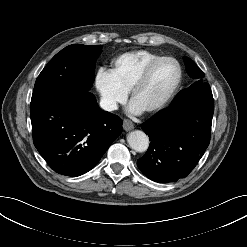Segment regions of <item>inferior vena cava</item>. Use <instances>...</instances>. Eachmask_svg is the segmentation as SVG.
Listing matches in <instances>:
<instances>
[{
	"label": "inferior vena cava",
	"mask_w": 247,
	"mask_h": 247,
	"mask_svg": "<svg viewBox=\"0 0 247 247\" xmlns=\"http://www.w3.org/2000/svg\"><path fill=\"white\" fill-rule=\"evenodd\" d=\"M100 107L106 111H113L117 109V104L114 101L102 99L100 101Z\"/></svg>",
	"instance_id": "602c4592"
}]
</instances>
